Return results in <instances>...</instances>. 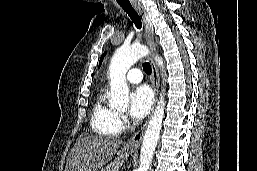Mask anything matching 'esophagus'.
I'll return each instance as SVG.
<instances>
[{
	"instance_id": "obj_1",
	"label": "esophagus",
	"mask_w": 257,
	"mask_h": 171,
	"mask_svg": "<svg viewBox=\"0 0 257 171\" xmlns=\"http://www.w3.org/2000/svg\"><path fill=\"white\" fill-rule=\"evenodd\" d=\"M133 6L135 10L139 13V15L142 17V21L145 27V39H146L147 45L152 51V55L150 56V62L152 67V85L155 93V103H156L157 97H158V91H159V73L153 58V55L156 51L153 25L148 17V14L145 8L141 3L134 2ZM146 127H147V122L127 141V143L124 146L126 150H129V151L138 150L140 143L142 141V138L144 136Z\"/></svg>"
}]
</instances>
